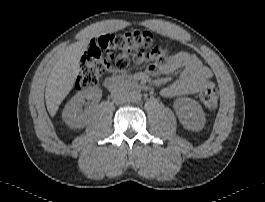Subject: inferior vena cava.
I'll use <instances>...</instances> for the list:
<instances>
[{
	"mask_svg": "<svg viewBox=\"0 0 265 202\" xmlns=\"http://www.w3.org/2000/svg\"><path fill=\"white\" fill-rule=\"evenodd\" d=\"M111 98L115 104H124L128 101V91L123 88H117L112 91Z\"/></svg>",
	"mask_w": 265,
	"mask_h": 202,
	"instance_id": "602c4592",
	"label": "inferior vena cava"
}]
</instances>
